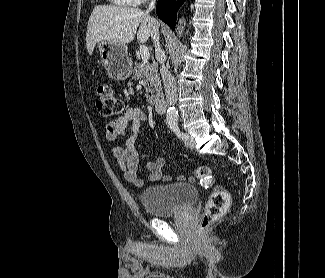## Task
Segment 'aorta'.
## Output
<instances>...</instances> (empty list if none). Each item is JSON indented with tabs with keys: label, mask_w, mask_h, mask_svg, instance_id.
Wrapping results in <instances>:
<instances>
[{
	"label": "aorta",
	"mask_w": 325,
	"mask_h": 278,
	"mask_svg": "<svg viewBox=\"0 0 325 278\" xmlns=\"http://www.w3.org/2000/svg\"><path fill=\"white\" fill-rule=\"evenodd\" d=\"M183 32H184V24H183V21H180L177 26V33H178V35L181 36L183 34ZM166 117H167L168 122H177L178 113H177L176 109L173 107H170L167 111Z\"/></svg>",
	"instance_id": "obj_1"
}]
</instances>
